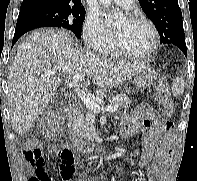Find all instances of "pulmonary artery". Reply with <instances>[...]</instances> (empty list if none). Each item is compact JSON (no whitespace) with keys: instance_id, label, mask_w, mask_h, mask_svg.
<instances>
[{"instance_id":"e3ab8cb5","label":"pulmonary artery","mask_w":197,"mask_h":181,"mask_svg":"<svg viewBox=\"0 0 197 181\" xmlns=\"http://www.w3.org/2000/svg\"><path fill=\"white\" fill-rule=\"evenodd\" d=\"M114 2L126 9L131 8L134 0H114Z\"/></svg>"}]
</instances>
